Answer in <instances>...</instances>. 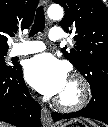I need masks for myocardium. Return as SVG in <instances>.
<instances>
[{"label":"myocardium","mask_w":108,"mask_h":127,"mask_svg":"<svg viewBox=\"0 0 108 127\" xmlns=\"http://www.w3.org/2000/svg\"><path fill=\"white\" fill-rule=\"evenodd\" d=\"M69 80L72 81L77 88V97L73 101H66L57 97L54 103L62 111L74 112L83 109L88 104L91 90L87 80L78 73L71 74Z\"/></svg>","instance_id":"f54148a6"}]
</instances>
